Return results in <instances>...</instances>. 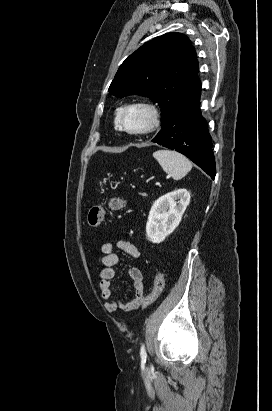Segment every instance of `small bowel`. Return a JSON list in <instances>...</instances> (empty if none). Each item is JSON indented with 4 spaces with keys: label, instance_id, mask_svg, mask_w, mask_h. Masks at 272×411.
I'll use <instances>...</instances> for the list:
<instances>
[{
    "label": "small bowel",
    "instance_id": "c3829d8e",
    "mask_svg": "<svg viewBox=\"0 0 272 411\" xmlns=\"http://www.w3.org/2000/svg\"><path fill=\"white\" fill-rule=\"evenodd\" d=\"M118 249L134 259L139 258L140 253L135 245L129 241L118 240L115 242H105L101 251L103 253L102 264L104 269L100 274L99 291L101 297L106 300L104 307L110 312H116L118 309L123 311H131L135 308L132 306L136 299L143 296L144 292V281L142 271L137 267H132L127 272V278L133 288V297L127 302H122L121 300L113 297V280L115 278L116 270L115 267L120 261V255L115 252Z\"/></svg>",
    "mask_w": 272,
    "mask_h": 411
}]
</instances>
